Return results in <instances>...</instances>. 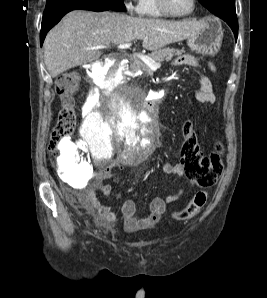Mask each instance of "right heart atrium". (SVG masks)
Wrapping results in <instances>:
<instances>
[{
	"label": "right heart atrium",
	"mask_w": 267,
	"mask_h": 298,
	"mask_svg": "<svg viewBox=\"0 0 267 298\" xmlns=\"http://www.w3.org/2000/svg\"><path fill=\"white\" fill-rule=\"evenodd\" d=\"M124 6L128 13L137 14L140 9V0H123Z\"/></svg>",
	"instance_id": "1"
}]
</instances>
